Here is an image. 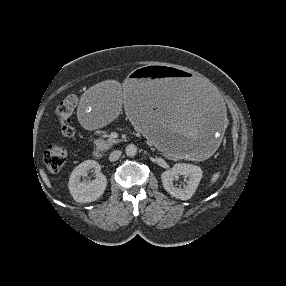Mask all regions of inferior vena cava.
Instances as JSON below:
<instances>
[{
    "label": "inferior vena cava",
    "mask_w": 286,
    "mask_h": 286,
    "mask_svg": "<svg viewBox=\"0 0 286 286\" xmlns=\"http://www.w3.org/2000/svg\"><path fill=\"white\" fill-rule=\"evenodd\" d=\"M121 154H122V152L120 150L113 151V152H111V154L109 156V160L111 162H114L120 158Z\"/></svg>",
    "instance_id": "1"
}]
</instances>
